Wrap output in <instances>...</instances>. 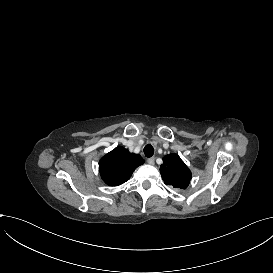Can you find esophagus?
Wrapping results in <instances>:
<instances>
[{
  "mask_svg": "<svg viewBox=\"0 0 273 273\" xmlns=\"http://www.w3.org/2000/svg\"><path fill=\"white\" fill-rule=\"evenodd\" d=\"M147 162H148L150 165H154V164H155V159H154V157L148 158V159H147Z\"/></svg>",
  "mask_w": 273,
  "mask_h": 273,
  "instance_id": "1",
  "label": "esophagus"
}]
</instances>
